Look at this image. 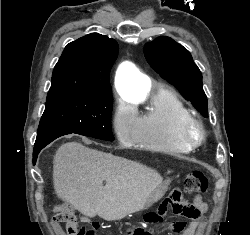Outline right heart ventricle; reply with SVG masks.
I'll use <instances>...</instances> for the list:
<instances>
[{
    "mask_svg": "<svg viewBox=\"0 0 250 235\" xmlns=\"http://www.w3.org/2000/svg\"><path fill=\"white\" fill-rule=\"evenodd\" d=\"M191 115L176 93L159 88L148 108L138 115V136L134 144L152 152L179 156L191 151L178 138L180 122Z\"/></svg>",
    "mask_w": 250,
    "mask_h": 235,
    "instance_id": "right-heart-ventricle-1",
    "label": "right heart ventricle"
}]
</instances>
